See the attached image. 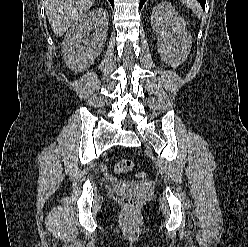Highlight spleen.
<instances>
[{"label":"spleen","mask_w":248,"mask_h":247,"mask_svg":"<svg viewBox=\"0 0 248 247\" xmlns=\"http://www.w3.org/2000/svg\"><path fill=\"white\" fill-rule=\"evenodd\" d=\"M183 3L187 4V6L198 16L201 15L200 5L196 0H181Z\"/></svg>","instance_id":"1"}]
</instances>
